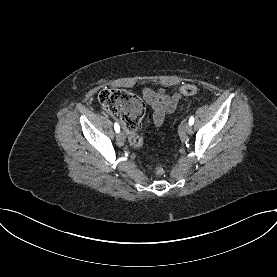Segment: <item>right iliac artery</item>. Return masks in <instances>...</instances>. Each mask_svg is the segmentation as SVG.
<instances>
[{
	"mask_svg": "<svg viewBox=\"0 0 277 277\" xmlns=\"http://www.w3.org/2000/svg\"><path fill=\"white\" fill-rule=\"evenodd\" d=\"M114 129H115V131H116L117 133L120 131V127H119V125H118L117 123H115Z\"/></svg>",
	"mask_w": 277,
	"mask_h": 277,
	"instance_id": "1",
	"label": "right iliac artery"
}]
</instances>
